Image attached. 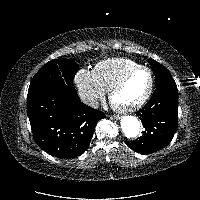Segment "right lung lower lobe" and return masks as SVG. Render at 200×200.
<instances>
[{
    "label": "right lung lower lobe",
    "mask_w": 200,
    "mask_h": 200,
    "mask_svg": "<svg viewBox=\"0 0 200 200\" xmlns=\"http://www.w3.org/2000/svg\"><path fill=\"white\" fill-rule=\"evenodd\" d=\"M27 114L38 146L52 156L72 158L86 151L103 112L82 103L74 87L27 95Z\"/></svg>",
    "instance_id": "98d812e1"
}]
</instances>
